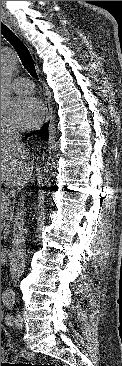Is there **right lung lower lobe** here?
<instances>
[{"label":"right lung lower lobe","mask_w":122,"mask_h":366,"mask_svg":"<svg viewBox=\"0 0 122 366\" xmlns=\"http://www.w3.org/2000/svg\"><path fill=\"white\" fill-rule=\"evenodd\" d=\"M35 133L39 134L44 140L48 139V124L43 126L39 131H36ZM29 134H27L28 136Z\"/></svg>","instance_id":"obj_1"}]
</instances>
